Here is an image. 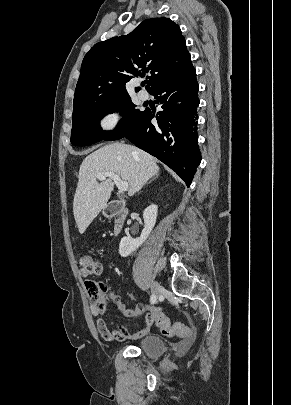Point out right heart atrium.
Returning a JSON list of instances; mask_svg holds the SVG:
<instances>
[{
	"label": "right heart atrium",
	"mask_w": 291,
	"mask_h": 405,
	"mask_svg": "<svg viewBox=\"0 0 291 405\" xmlns=\"http://www.w3.org/2000/svg\"><path fill=\"white\" fill-rule=\"evenodd\" d=\"M122 120V112L118 109L106 111L98 120V128L100 131L108 133L116 130Z\"/></svg>",
	"instance_id": "right-heart-atrium-1"
}]
</instances>
